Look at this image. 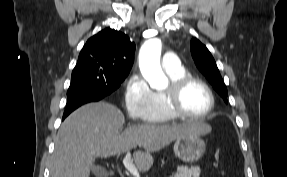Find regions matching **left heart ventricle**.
Returning a JSON list of instances; mask_svg holds the SVG:
<instances>
[{
	"instance_id": "1",
	"label": "left heart ventricle",
	"mask_w": 287,
	"mask_h": 177,
	"mask_svg": "<svg viewBox=\"0 0 287 177\" xmlns=\"http://www.w3.org/2000/svg\"><path fill=\"white\" fill-rule=\"evenodd\" d=\"M209 105V95L201 85L193 83L184 90L181 106L186 112L201 115L207 111Z\"/></svg>"
}]
</instances>
